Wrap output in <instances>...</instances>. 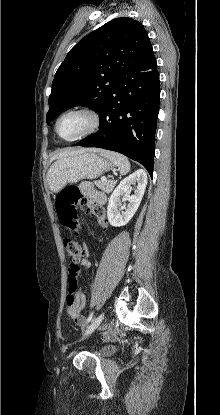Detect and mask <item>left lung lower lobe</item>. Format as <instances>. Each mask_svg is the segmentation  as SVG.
<instances>
[{
  "instance_id": "1",
  "label": "left lung lower lobe",
  "mask_w": 220,
  "mask_h": 415,
  "mask_svg": "<svg viewBox=\"0 0 220 415\" xmlns=\"http://www.w3.org/2000/svg\"><path fill=\"white\" fill-rule=\"evenodd\" d=\"M159 100V73L153 56L118 78L99 112V131L77 145L119 152L141 163L152 177Z\"/></svg>"
}]
</instances>
